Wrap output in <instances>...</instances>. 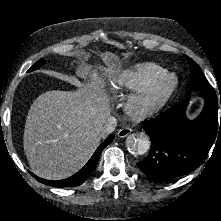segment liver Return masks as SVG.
Wrapping results in <instances>:
<instances>
[{
	"mask_svg": "<svg viewBox=\"0 0 221 221\" xmlns=\"http://www.w3.org/2000/svg\"><path fill=\"white\" fill-rule=\"evenodd\" d=\"M89 77L92 83L86 88L47 91L31 105L23 144L35 175L48 180L67 178L98 147L110 106L96 70Z\"/></svg>",
	"mask_w": 221,
	"mask_h": 221,
	"instance_id": "1",
	"label": "liver"
}]
</instances>
